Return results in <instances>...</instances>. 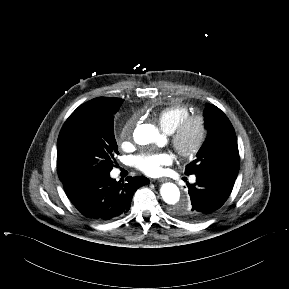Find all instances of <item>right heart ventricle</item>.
Masks as SVG:
<instances>
[{
    "mask_svg": "<svg viewBox=\"0 0 289 289\" xmlns=\"http://www.w3.org/2000/svg\"><path fill=\"white\" fill-rule=\"evenodd\" d=\"M191 115L190 109L182 104L162 108L157 115L158 123L163 131L172 133L178 124Z\"/></svg>",
    "mask_w": 289,
    "mask_h": 289,
    "instance_id": "1",
    "label": "right heart ventricle"
}]
</instances>
